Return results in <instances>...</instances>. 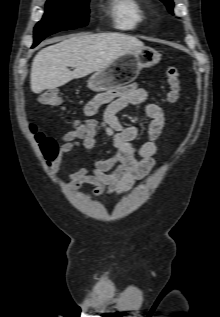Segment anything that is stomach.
I'll use <instances>...</instances> for the list:
<instances>
[{"label": "stomach", "instance_id": "stomach-1", "mask_svg": "<svg viewBox=\"0 0 220 317\" xmlns=\"http://www.w3.org/2000/svg\"><path fill=\"white\" fill-rule=\"evenodd\" d=\"M161 55L152 48L144 47L125 53L108 67L96 71L87 81L92 91H108L134 81L142 68L156 65Z\"/></svg>", "mask_w": 220, "mask_h": 317}]
</instances>
